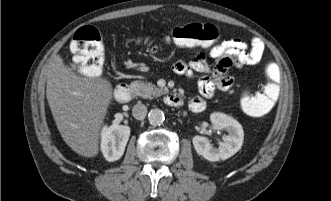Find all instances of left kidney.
Returning <instances> with one entry per match:
<instances>
[{"label":"left kidney","instance_id":"obj_1","mask_svg":"<svg viewBox=\"0 0 331 201\" xmlns=\"http://www.w3.org/2000/svg\"><path fill=\"white\" fill-rule=\"evenodd\" d=\"M210 119L220 130H226L228 135L223 136L218 148L213 147L208 138L196 135L192 139L193 146L208 161L226 160L241 149L243 128L238 121L223 113H212Z\"/></svg>","mask_w":331,"mask_h":201}]
</instances>
